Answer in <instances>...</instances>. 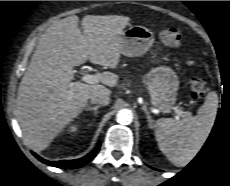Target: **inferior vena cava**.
I'll list each match as a JSON object with an SVG mask.
<instances>
[{"mask_svg":"<svg viewBox=\"0 0 230 186\" xmlns=\"http://www.w3.org/2000/svg\"><path fill=\"white\" fill-rule=\"evenodd\" d=\"M90 101L92 104H98V105L106 106L110 103V98L106 94L93 93L90 96Z\"/></svg>","mask_w":230,"mask_h":186,"instance_id":"inferior-vena-cava-1","label":"inferior vena cava"}]
</instances>
